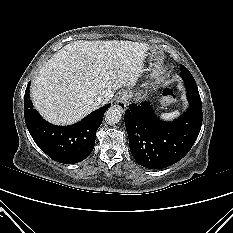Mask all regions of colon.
Instances as JSON below:
<instances>
[{"instance_id": "colon-1", "label": "colon", "mask_w": 233, "mask_h": 233, "mask_svg": "<svg viewBox=\"0 0 233 233\" xmlns=\"http://www.w3.org/2000/svg\"><path fill=\"white\" fill-rule=\"evenodd\" d=\"M163 100L166 103L175 101L176 95L171 88H165L162 92Z\"/></svg>"}]
</instances>
